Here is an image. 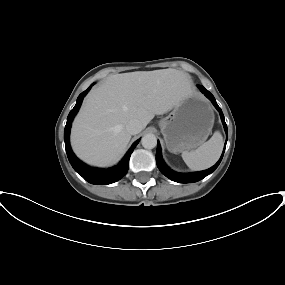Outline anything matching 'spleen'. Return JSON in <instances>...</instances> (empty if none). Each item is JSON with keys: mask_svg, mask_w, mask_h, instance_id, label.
<instances>
[{"mask_svg": "<svg viewBox=\"0 0 285 285\" xmlns=\"http://www.w3.org/2000/svg\"><path fill=\"white\" fill-rule=\"evenodd\" d=\"M223 149V138L216 131L213 136L193 151L182 152V159L192 170H204L214 165L219 159Z\"/></svg>", "mask_w": 285, "mask_h": 285, "instance_id": "obj_1", "label": "spleen"}]
</instances>
